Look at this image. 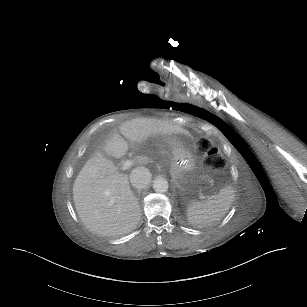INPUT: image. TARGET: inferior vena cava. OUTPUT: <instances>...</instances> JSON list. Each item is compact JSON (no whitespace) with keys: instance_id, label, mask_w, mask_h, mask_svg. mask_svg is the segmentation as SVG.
<instances>
[{"instance_id":"obj_1","label":"inferior vena cava","mask_w":307,"mask_h":307,"mask_svg":"<svg viewBox=\"0 0 307 307\" xmlns=\"http://www.w3.org/2000/svg\"><path fill=\"white\" fill-rule=\"evenodd\" d=\"M152 175L145 167H137L130 174V182L136 189H146L151 183Z\"/></svg>"}]
</instances>
